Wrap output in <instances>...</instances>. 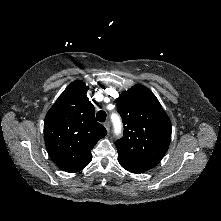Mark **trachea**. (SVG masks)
Returning a JSON list of instances; mask_svg holds the SVG:
<instances>
[{"label": "trachea", "instance_id": "obj_1", "mask_svg": "<svg viewBox=\"0 0 221 221\" xmlns=\"http://www.w3.org/2000/svg\"><path fill=\"white\" fill-rule=\"evenodd\" d=\"M106 116V112L103 110L98 111L96 114V118L99 122H104L106 120Z\"/></svg>", "mask_w": 221, "mask_h": 221}]
</instances>
